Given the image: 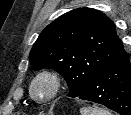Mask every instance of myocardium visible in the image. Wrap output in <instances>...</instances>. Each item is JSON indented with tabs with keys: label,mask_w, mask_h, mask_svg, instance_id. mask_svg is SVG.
I'll list each match as a JSON object with an SVG mask.
<instances>
[{
	"label": "myocardium",
	"mask_w": 131,
	"mask_h": 115,
	"mask_svg": "<svg viewBox=\"0 0 131 115\" xmlns=\"http://www.w3.org/2000/svg\"><path fill=\"white\" fill-rule=\"evenodd\" d=\"M40 80H47L50 84V92L44 98L38 97L35 92V86L37 82ZM61 83V76L58 72L50 69L42 70L38 72L31 80L30 94L33 98L37 99L38 101L42 103H47L57 96L61 88Z\"/></svg>",
	"instance_id": "f54148a6"
}]
</instances>
